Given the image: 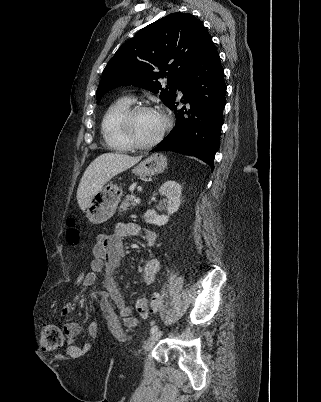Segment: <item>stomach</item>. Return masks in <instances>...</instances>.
I'll return each instance as SVG.
<instances>
[{
    "label": "stomach",
    "mask_w": 321,
    "mask_h": 402,
    "mask_svg": "<svg viewBox=\"0 0 321 402\" xmlns=\"http://www.w3.org/2000/svg\"><path fill=\"white\" fill-rule=\"evenodd\" d=\"M167 159L159 153H154L141 161L132 170L140 176H152L164 171ZM122 190L112 183L102 187L90 200L86 217L94 224H100L110 219L122 197Z\"/></svg>",
    "instance_id": "stomach-1"
}]
</instances>
